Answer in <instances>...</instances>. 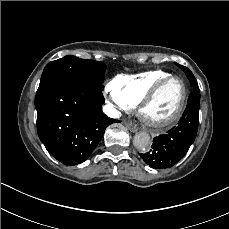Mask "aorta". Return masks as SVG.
Listing matches in <instances>:
<instances>
[{
    "label": "aorta",
    "mask_w": 229,
    "mask_h": 229,
    "mask_svg": "<svg viewBox=\"0 0 229 229\" xmlns=\"http://www.w3.org/2000/svg\"><path fill=\"white\" fill-rule=\"evenodd\" d=\"M133 143L138 150L145 151L150 145V136L146 132L136 133Z\"/></svg>",
    "instance_id": "762f6f07"
}]
</instances>
